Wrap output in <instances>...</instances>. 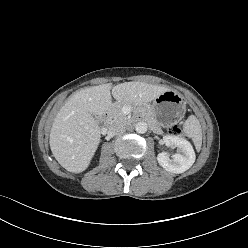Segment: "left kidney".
<instances>
[{"label": "left kidney", "mask_w": 248, "mask_h": 248, "mask_svg": "<svg viewBox=\"0 0 248 248\" xmlns=\"http://www.w3.org/2000/svg\"><path fill=\"white\" fill-rule=\"evenodd\" d=\"M166 146L177 147V153L170 158L167 152H161L157 156L158 163L165 170L172 173H183L195 162L196 156L192 145L184 138L175 135L163 137Z\"/></svg>", "instance_id": "5707ae66"}]
</instances>
